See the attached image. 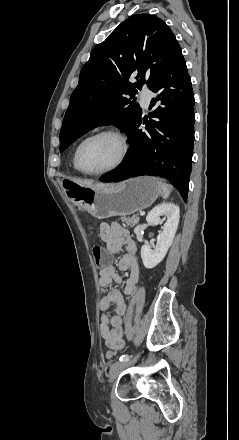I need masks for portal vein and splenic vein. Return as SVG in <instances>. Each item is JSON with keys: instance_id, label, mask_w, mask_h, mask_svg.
<instances>
[{"instance_id": "1", "label": "portal vein and splenic vein", "mask_w": 239, "mask_h": 440, "mask_svg": "<svg viewBox=\"0 0 239 440\" xmlns=\"http://www.w3.org/2000/svg\"><path fill=\"white\" fill-rule=\"evenodd\" d=\"M140 214H141V215H144V214H145V211H142Z\"/></svg>"}]
</instances>
